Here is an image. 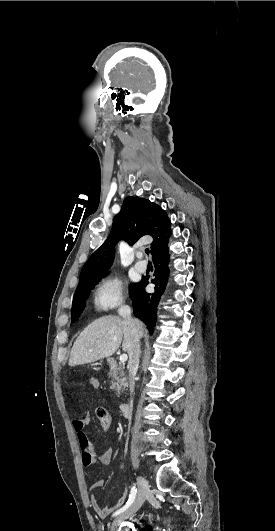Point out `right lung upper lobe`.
<instances>
[{
    "mask_svg": "<svg viewBox=\"0 0 275 531\" xmlns=\"http://www.w3.org/2000/svg\"><path fill=\"white\" fill-rule=\"evenodd\" d=\"M170 220L157 204L140 197H127L121 211L114 217L107 240L90 256L80 273V288L88 280L107 274L115 257V246L120 240L133 245L144 235L153 237L151 253L170 236ZM76 289V290H77Z\"/></svg>",
    "mask_w": 275,
    "mask_h": 531,
    "instance_id": "cb5924a9",
    "label": "right lung upper lobe"
}]
</instances>
